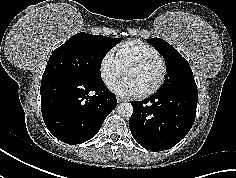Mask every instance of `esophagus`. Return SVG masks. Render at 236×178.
Segmentation results:
<instances>
[{
    "mask_svg": "<svg viewBox=\"0 0 236 178\" xmlns=\"http://www.w3.org/2000/svg\"><path fill=\"white\" fill-rule=\"evenodd\" d=\"M124 100L122 99V98H120V97H117V102L118 103H121V102H123Z\"/></svg>",
    "mask_w": 236,
    "mask_h": 178,
    "instance_id": "esophagus-1",
    "label": "esophagus"
}]
</instances>
